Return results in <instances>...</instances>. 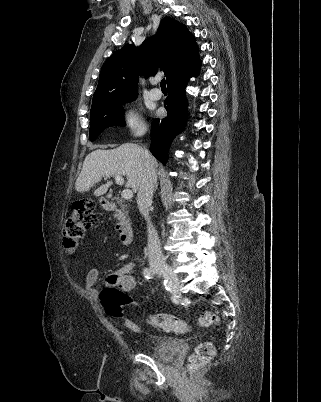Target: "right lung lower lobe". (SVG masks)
Here are the masks:
<instances>
[{"label": "right lung lower lobe", "instance_id": "obj_1", "mask_svg": "<svg viewBox=\"0 0 321 402\" xmlns=\"http://www.w3.org/2000/svg\"><path fill=\"white\" fill-rule=\"evenodd\" d=\"M200 65L193 70L180 74L170 80L168 97L164 101L167 117L154 119L151 129V153L163 164L167 162L168 150L174 137L180 133L186 121L187 99L185 88L189 78L196 76Z\"/></svg>", "mask_w": 321, "mask_h": 402}]
</instances>
